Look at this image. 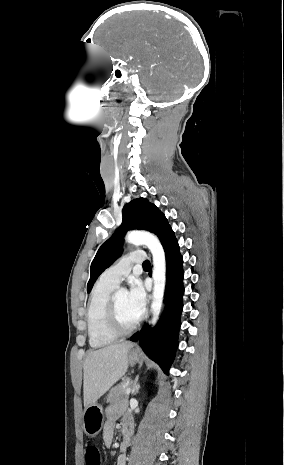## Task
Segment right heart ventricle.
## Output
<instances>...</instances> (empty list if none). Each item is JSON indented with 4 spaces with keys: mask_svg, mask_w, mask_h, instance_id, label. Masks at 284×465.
Listing matches in <instances>:
<instances>
[{
    "mask_svg": "<svg viewBox=\"0 0 284 465\" xmlns=\"http://www.w3.org/2000/svg\"><path fill=\"white\" fill-rule=\"evenodd\" d=\"M115 287L99 279L90 292L85 314L90 346H110L117 340L106 328L109 298Z\"/></svg>",
    "mask_w": 284,
    "mask_h": 465,
    "instance_id": "right-heart-ventricle-1",
    "label": "right heart ventricle"
}]
</instances>
